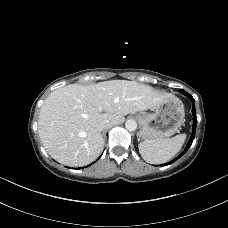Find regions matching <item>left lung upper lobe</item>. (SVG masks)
<instances>
[{
    "label": "left lung upper lobe",
    "instance_id": "5c2ea615",
    "mask_svg": "<svg viewBox=\"0 0 228 228\" xmlns=\"http://www.w3.org/2000/svg\"><path fill=\"white\" fill-rule=\"evenodd\" d=\"M180 92H181L182 94H184L185 91H184V90H180Z\"/></svg>",
    "mask_w": 228,
    "mask_h": 228
}]
</instances>
